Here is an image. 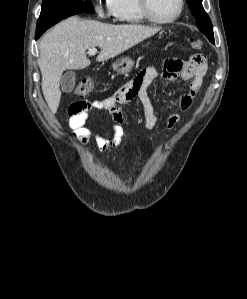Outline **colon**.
<instances>
[{
  "label": "colon",
  "mask_w": 247,
  "mask_h": 299,
  "mask_svg": "<svg viewBox=\"0 0 247 299\" xmlns=\"http://www.w3.org/2000/svg\"><path fill=\"white\" fill-rule=\"evenodd\" d=\"M190 45L194 49H201L203 42L200 39H192ZM94 83L91 78H83L75 88V94L78 96H85L89 94L93 89Z\"/></svg>",
  "instance_id": "5ec220e1"
}]
</instances>
